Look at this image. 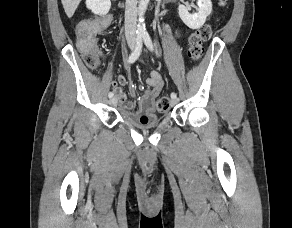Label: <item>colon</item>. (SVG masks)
I'll return each mask as SVG.
<instances>
[{
	"label": "colon",
	"mask_w": 292,
	"mask_h": 228,
	"mask_svg": "<svg viewBox=\"0 0 292 228\" xmlns=\"http://www.w3.org/2000/svg\"><path fill=\"white\" fill-rule=\"evenodd\" d=\"M221 5H225L227 0H219ZM110 24V17L105 16L95 21H89L81 24L78 28L77 45L83 54L86 65L92 69L98 67L100 55L97 48L94 34L100 29H104ZM210 25H203L194 31L188 40V56L193 62L199 61L204 54V43L212 36ZM170 101L167 96H163L157 101V110L164 112L169 108Z\"/></svg>",
	"instance_id": "1"
}]
</instances>
